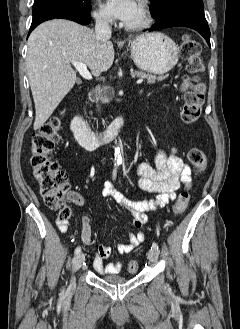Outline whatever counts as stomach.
Returning a JSON list of instances; mask_svg holds the SVG:
<instances>
[{"label": "stomach", "instance_id": "obj_1", "mask_svg": "<svg viewBox=\"0 0 240 329\" xmlns=\"http://www.w3.org/2000/svg\"><path fill=\"white\" fill-rule=\"evenodd\" d=\"M130 49L135 65L149 73H167L178 62L177 45L163 33L139 35L130 42Z\"/></svg>", "mask_w": 240, "mask_h": 329}]
</instances>
